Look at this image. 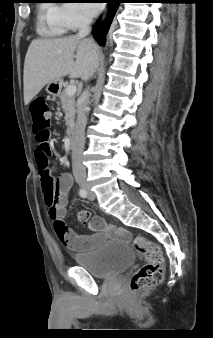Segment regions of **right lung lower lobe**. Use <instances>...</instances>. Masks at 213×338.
<instances>
[{
    "mask_svg": "<svg viewBox=\"0 0 213 338\" xmlns=\"http://www.w3.org/2000/svg\"><path fill=\"white\" fill-rule=\"evenodd\" d=\"M120 2L121 0H108V3H110V15L108 16L107 20L102 25H100L99 22H97L94 26L95 39L101 46H104L105 44L104 43L105 35L108 31V28L111 24L113 16Z\"/></svg>",
    "mask_w": 213,
    "mask_h": 338,
    "instance_id": "98d812e1",
    "label": "right lung lower lobe"
}]
</instances>
